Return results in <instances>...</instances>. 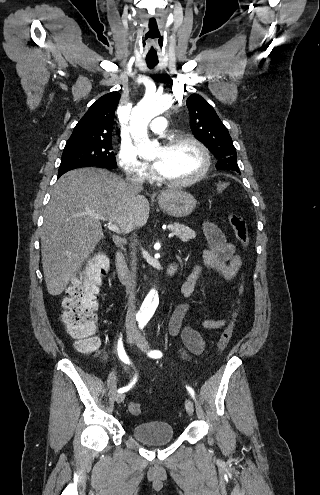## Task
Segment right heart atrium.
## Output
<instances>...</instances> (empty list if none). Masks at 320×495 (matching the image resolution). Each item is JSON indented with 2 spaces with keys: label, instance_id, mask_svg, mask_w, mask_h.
Returning a JSON list of instances; mask_svg holds the SVG:
<instances>
[{
  "label": "right heart atrium",
  "instance_id": "d8ad5b80",
  "mask_svg": "<svg viewBox=\"0 0 320 495\" xmlns=\"http://www.w3.org/2000/svg\"><path fill=\"white\" fill-rule=\"evenodd\" d=\"M118 160L121 168L128 176L141 180L150 178L148 166L137 158L136 151L131 145H121Z\"/></svg>",
  "mask_w": 320,
  "mask_h": 495
}]
</instances>
